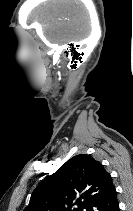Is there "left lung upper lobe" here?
I'll list each match as a JSON object with an SVG mask.
<instances>
[{
    "instance_id": "1",
    "label": "left lung upper lobe",
    "mask_w": 133,
    "mask_h": 211,
    "mask_svg": "<svg viewBox=\"0 0 133 211\" xmlns=\"http://www.w3.org/2000/svg\"><path fill=\"white\" fill-rule=\"evenodd\" d=\"M113 187L112 177L101 163L80 154L33 191L24 211H91Z\"/></svg>"
}]
</instances>
